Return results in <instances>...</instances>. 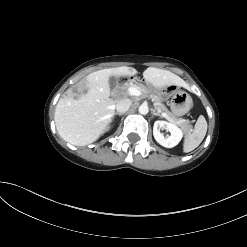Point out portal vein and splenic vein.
I'll use <instances>...</instances> for the list:
<instances>
[{
    "instance_id": "18ae733b",
    "label": "portal vein and splenic vein",
    "mask_w": 247,
    "mask_h": 247,
    "mask_svg": "<svg viewBox=\"0 0 247 247\" xmlns=\"http://www.w3.org/2000/svg\"><path fill=\"white\" fill-rule=\"evenodd\" d=\"M128 93H129V95H131V96H140L141 95V91L139 90V88H137V87H130L129 89H128ZM162 116L164 117V118H166V119H169L168 118V116H167V114L166 113H162Z\"/></svg>"
}]
</instances>
